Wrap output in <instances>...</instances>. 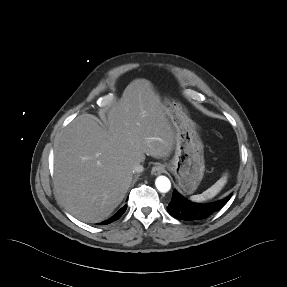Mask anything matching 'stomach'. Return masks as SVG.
I'll return each instance as SVG.
<instances>
[{
  "label": "stomach",
  "instance_id": "1",
  "mask_svg": "<svg viewBox=\"0 0 287 287\" xmlns=\"http://www.w3.org/2000/svg\"><path fill=\"white\" fill-rule=\"evenodd\" d=\"M163 107L176 131L175 153L168 168L183 192L192 194L204 176V146L196 124L180 103L165 100Z\"/></svg>",
  "mask_w": 287,
  "mask_h": 287
}]
</instances>
